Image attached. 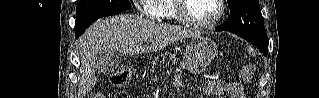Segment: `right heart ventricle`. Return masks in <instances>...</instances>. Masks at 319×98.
I'll return each instance as SVG.
<instances>
[{"mask_svg": "<svg viewBox=\"0 0 319 98\" xmlns=\"http://www.w3.org/2000/svg\"><path fill=\"white\" fill-rule=\"evenodd\" d=\"M147 6L153 9L161 19L178 20L172 0H151L148 1Z\"/></svg>", "mask_w": 319, "mask_h": 98, "instance_id": "e07e8e85", "label": "right heart ventricle"}]
</instances>
